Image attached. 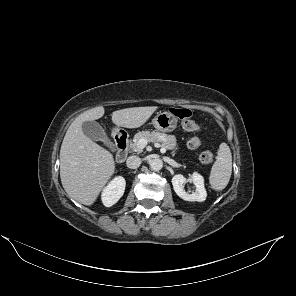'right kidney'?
<instances>
[{
    "label": "right kidney",
    "instance_id": "obj_1",
    "mask_svg": "<svg viewBox=\"0 0 296 296\" xmlns=\"http://www.w3.org/2000/svg\"><path fill=\"white\" fill-rule=\"evenodd\" d=\"M126 181L122 176L115 177L102 192V202L106 207H111L123 196Z\"/></svg>",
    "mask_w": 296,
    "mask_h": 296
}]
</instances>
